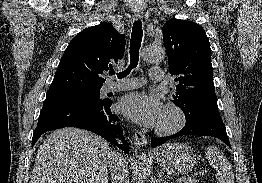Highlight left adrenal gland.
I'll return each instance as SVG.
<instances>
[{
    "label": "left adrenal gland",
    "mask_w": 262,
    "mask_h": 183,
    "mask_svg": "<svg viewBox=\"0 0 262 183\" xmlns=\"http://www.w3.org/2000/svg\"><path fill=\"white\" fill-rule=\"evenodd\" d=\"M159 183H169V182H166V180H163L162 172L159 175Z\"/></svg>",
    "instance_id": "left-adrenal-gland-1"
}]
</instances>
